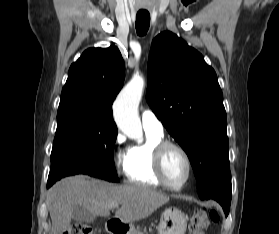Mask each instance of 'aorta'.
I'll return each mask as SVG.
<instances>
[{
    "label": "aorta",
    "mask_w": 279,
    "mask_h": 234,
    "mask_svg": "<svg viewBox=\"0 0 279 234\" xmlns=\"http://www.w3.org/2000/svg\"><path fill=\"white\" fill-rule=\"evenodd\" d=\"M144 79L136 74L122 89L113 104L114 120L118 128L129 138L143 142L142 125L138 106L144 89Z\"/></svg>",
    "instance_id": "aorta-1"
}]
</instances>
